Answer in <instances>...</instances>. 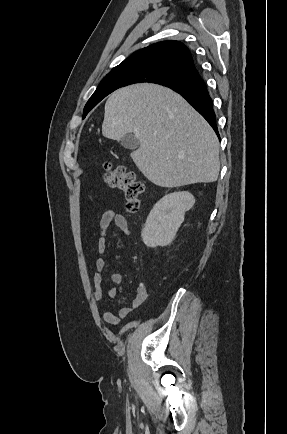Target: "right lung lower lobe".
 Listing matches in <instances>:
<instances>
[{
	"instance_id": "obj_1",
	"label": "right lung lower lobe",
	"mask_w": 287,
	"mask_h": 434,
	"mask_svg": "<svg viewBox=\"0 0 287 434\" xmlns=\"http://www.w3.org/2000/svg\"><path fill=\"white\" fill-rule=\"evenodd\" d=\"M167 87L181 94L207 120L218 135L213 101L205 82L196 68L186 73L179 81L167 85Z\"/></svg>"
}]
</instances>
